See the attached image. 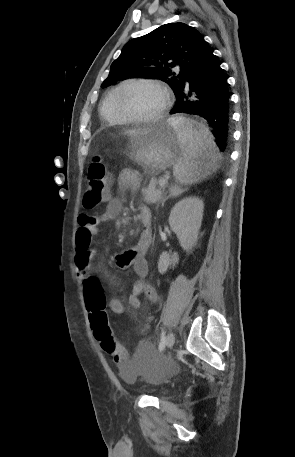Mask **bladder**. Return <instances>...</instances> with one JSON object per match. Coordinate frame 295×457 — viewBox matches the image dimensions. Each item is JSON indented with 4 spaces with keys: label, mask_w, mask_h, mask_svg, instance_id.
<instances>
[{
    "label": "bladder",
    "mask_w": 295,
    "mask_h": 457,
    "mask_svg": "<svg viewBox=\"0 0 295 457\" xmlns=\"http://www.w3.org/2000/svg\"><path fill=\"white\" fill-rule=\"evenodd\" d=\"M152 345H137L135 351L138 355L128 356L126 362L119 364V375L121 379L129 384L143 378L146 382L159 385L164 379L170 382L175 380L173 375L176 374V367L173 360L169 359L167 352H153ZM138 358V360L136 359ZM140 369H148L142 371ZM159 397H165L164 392L157 394Z\"/></svg>",
    "instance_id": "bladder-1"
}]
</instances>
